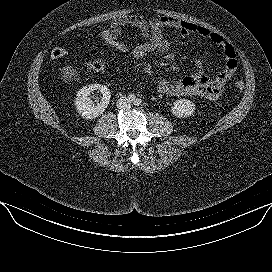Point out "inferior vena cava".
Here are the masks:
<instances>
[{
  "label": "inferior vena cava",
  "instance_id": "inferior-vena-cava-1",
  "mask_svg": "<svg viewBox=\"0 0 272 272\" xmlns=\"http://www.w3.org/2000/svg\"><path fill=\"white\" fill-rule=\"evenodd\" d=\"M116 104L118 109L129 110L131 108V102L126 97H121L120 99H118Z\"/></svg>",
  "mask_w": 272,
  "mask_h": 272
}]
</instances>
